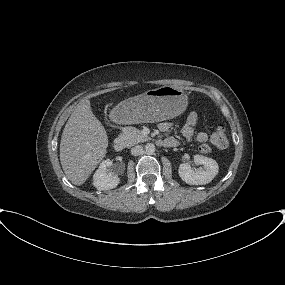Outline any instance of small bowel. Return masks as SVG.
Masks as SVG:
<instances>
[{"label": "small bowel", "mask_w": 285, "mask_h": 285, "mask_svg": "<svg viewBox=\"0 0 285 285\" xmlns=\"http://www.w3.org/2000/svg\"><path fill=\"white\" fill-rule=\"evenodd\" d=\"M198 125V117L195 113H191L187 121L180 126L181 132L187 140L195 139L199 143H204L208 139L207 133L200 131L195 133V128ZM175 127V124L170 121L162 122L159 128L162 132H168ZM178 141L176 138L170 136L164 140L166 146L172 147L177 145Z\"/></svg>", "instance_id": "c3829d8e"}]
</instances>
